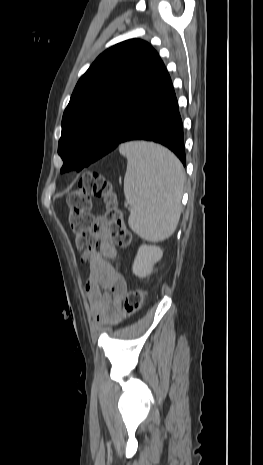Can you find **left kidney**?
<instances>
[{"label": "left kidney", "mask_w": 263, "mask_h": 465, "mask_svg": "<svg viewBox=\"0 0 263 465\" xmlns=\"http://www.w3.org/2000/svg\"><path fill=\"white\" fill-rule=\"evenodd\" d=\"M161 257L162 251L159 247L145 244L141 245L132 266L133 273L140 278L148 276L152 272L154 264L158 262Z\"/></svg>", "instance_id": "5707ae66"}]
</instances>
